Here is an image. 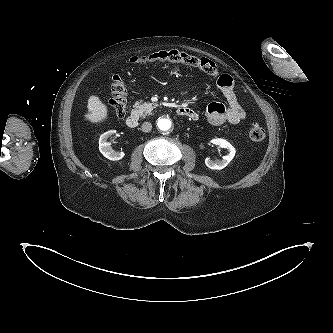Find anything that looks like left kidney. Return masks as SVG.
<instances>
[{
	"label": "left kidney",
	"instance_id": "5707ae66",
	"mask_svg": "<svg viewBox=\"0 0 333 333\" xmlns=\"http://www.w3.org/2000/svg\"><path fill=\"white\" fill-rule=\"evenodd\" d=\"M212 144L218 145L221 148L227 150V155L223 156L222 160L212 161L210 158L205 159V164L208 168L212 170H221L225 168L234 158L236 154L235 148L225 139L216 138L211 140Z\"/></svg>",
	"mask_w": 333,
	"mask_h": 333
}]
</instances>
